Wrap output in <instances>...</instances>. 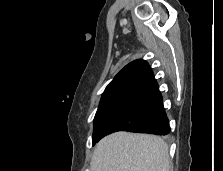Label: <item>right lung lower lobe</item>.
<instances>
[{"mask_svg":"<svg viewBox=\"0 0 223 171\" xmlns=\"http://www.w3.org/2000/svg\"><path fill=\"white\" fill-rule=\"evenodd\" d=\"M117 131L156 135H166L170 132L158 86L137 97L106 127L101 138Z\"/></svg>","mask_w":223,"mask_h":171,"instance_id":"obj_1","label":"right lung lower lobe"}]
</instances>
